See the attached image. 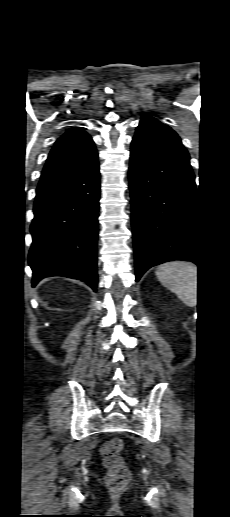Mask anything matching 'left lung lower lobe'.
I'll list each match as a JSON object with an SVG mask.
<instances>
[{
    "mask_svg": "<svg viewBox=\"0 0 230 517\" xmlns=\"http://www.w3.org/2000/svg\"><path fill=\"white\" fill-rule=\"evenodd\" d=\"M136 281L173 260L200 266L195 177L190 163L132 144L129 166Z\"/></svg>",
    "mask_w": 230,
    "mask_h": 517,
    "instance_id": "0a47b994",
    "label": "left lung lower lobe"
}]
</instances>
